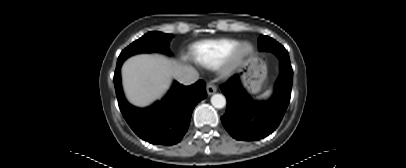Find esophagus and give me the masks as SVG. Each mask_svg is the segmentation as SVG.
<instances>
[{
  "instance_id": "1",
  "label": "esophagus",
  "mask_w": 406,
  "mask_h": 168,
  "mask_svg": "<svg viewBox=\"0 0 406 168\" xmlns=\"http://www.w3.org/2000/svg\"><path fill=\"white\" fill-rule=\"evenodd\" d=\"M206 90L208 95H212L217 91V87L212 83H208Z\"/></svg>"
}]
</instances>
